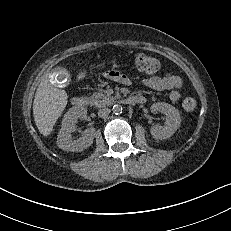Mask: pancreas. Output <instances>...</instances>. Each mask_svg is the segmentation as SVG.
<instances>
[{"label":"pancreas","instance_id":"cf45deb5","mask_svg":"<svg viewBox=\"0 0 231 231\" xmlns=\"http://www.w3.org/2000/svg\"><path fill=\"white\" fill-rule=\"evenodd\" d=\"M113 100L114 98L112 96H109L102 90H99L98 92L93 93V95L89 98V103L92 106L103 107L109 105Z\"/></svg>","mask_w":231,"mask_h":231}]
</instances>
